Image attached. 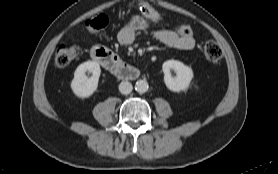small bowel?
<instances>
[{
	"label": "small bowel",
	"instance_id": "small-bowel-1",
	"mask_svg": "<svg viewBox=\"0 0 278 174\" xmlns=\"http://www.w3.org/2000/svg\"><path fill=\"white\" fill-rule=\"evenodd\" d=\"M149 27V22L142 16L132 17L118 32L117 38L120 44L130 45L134 42L137 33ZM154 38L160 43L178 50H192L195 47L193 37H183L169 29L153 32Z\"/></svg>",
	"mask_w": 278,
	"mask_h": 174
}]
</instances>
